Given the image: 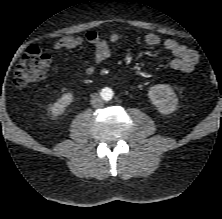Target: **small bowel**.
Masks as SVG:
<instances>
[{
  "label": "small bowel",
  "instance_id": "c3829d8e",
  "mask_svg": "<svg viewBox=\"0 0 222 219\" xmlns=\"http://www.w3.org/2000/svg\"><path fill=\"white\" fill-rule=\"evenodd\" d=\"M120 40L121 36L118 33H111L106 37H101L96 31L90 30L83 37H63L55 42L53 48L57 51L62 49L70 50L87 43L94 48L95 61L102 63L112 56L111 46L119 43ZM144 41L150 47L158 46L161 43L160 37L154 33L147 34L144 37ZM163 46L172 55V59L168 63L171 69L185 73L194 70L198 60L197 53L194 50L187 48L174 39L164 40ZM94 71L93 66H86L83 73L92 75Z\"/></svg>",
  "mask_w": 222,
  "mask_h": 219
}]
</instances>
